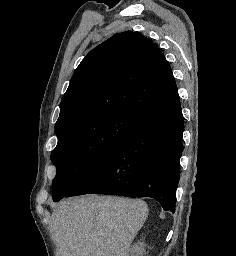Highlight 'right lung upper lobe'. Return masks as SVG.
<instances>
[{
	"label": "right lung upper lobe",
	"instance_id": "right-lung-upper-lobe-1",
	"mask_svg": "<svg viewBox=\"0 0 236 256\" xmlns=\"http://www.w3.org/2000/svg\"><path fill=\"white\" fill-rule=\"evenodd\" d=\"M178 98L171 67L157 44L139 32L118 33L77 67L61 101L55 132L117 111L143 121Z\"/></svg>",
	"mask_w": 236,
	"mask_h": 256
}]
</instances>
